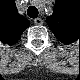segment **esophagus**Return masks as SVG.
<instances>
[{
	"instance_id": "1",
	"label": "esophagus",
	"mask_w": 80,
	"mask_h": 80,
	"mask_svg": "<svg viewBox=\"0 0 80 80\" xmlns=\"http://www.w3.org/2000/svg\"><path fill=\"white\" fill-rule=\"evenodd\" d=\"M34 23L37 25H41L43 23V21L41 18H36V19H34Z\"/></svg>"
}]
</instances>
